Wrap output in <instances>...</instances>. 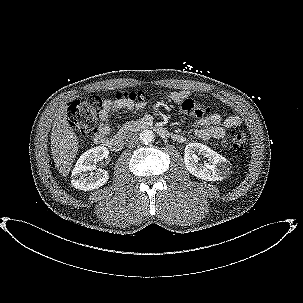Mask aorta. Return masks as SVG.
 <instances>
[{"label": "aorta", "instance_id": "1", "mask_svg": "<svg viewBox=\"0 0 303 303\" xmlns=\"http://www.w3.org/2000/svg\"><path fill=\"white\" fill-rule=\"evenodd\" d=\"M154 137H155V135H154L153 131L149 130V129H145V130L141 131L139 134L140 141L146 145L153 142Z\"/></svg>", "mask_w": 303, "mask_h": 303}]
</instances>
